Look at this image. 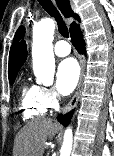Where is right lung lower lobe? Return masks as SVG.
Wrapping results in <instances>:
<instances>
[{"mask_svg": "<svg viewBox=\"0 0 114 156\" xmlns=\"http://www.w3.org/2000/svg\"><path fill=\"white\" fill-rule=\"evenodd\" d=\"M71 42L79 53H85V44L82 39V33L79 29V26H75L70 30ZM73 111L69 112L65 116L59 115L58 120L64 126H67L72 117Z\"/></svg>", "mask_w": 114, "mask_h": 156, "instance_id": "98d812e1", "label": "right lung lower lobe"}]
</instances>
